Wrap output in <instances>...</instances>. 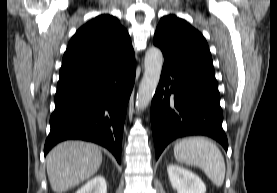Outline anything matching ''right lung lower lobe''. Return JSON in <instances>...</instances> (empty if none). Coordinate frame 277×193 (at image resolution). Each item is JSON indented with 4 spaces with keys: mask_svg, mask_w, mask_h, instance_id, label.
Segmentation results:
<instances>
[{
    "mask_svg": "<svg viewBox=\"0 0 277 193\" xmlns=\"http://www.w3.org/2000/svg\"><path fill=\"white\" fill-rule=\"evenodd\" d=\"M135 74L133 56L106 70L59 81L44 155L61 141L79 139L107 148L120 163L123 127Z\"/></svg>",
    "mask_w": 277,
    "mask_h": 193,
    "instance_id": "98d812e1",
    "label": "right lung lower lobe"
}]
</instances>
